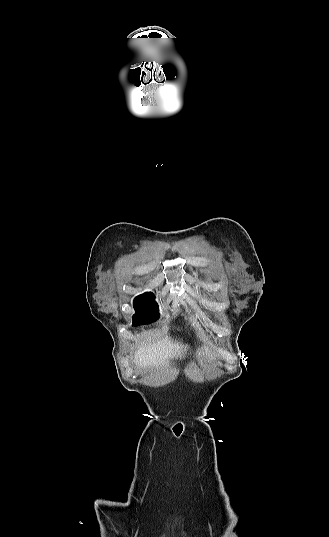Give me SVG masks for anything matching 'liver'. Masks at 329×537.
<instances>
[{
    "label": "liver",
    "instance_id": "obj_1",
    "mask_svg": "<svg viewBox=\"0 0 329 537\" xmlns=\"http://www.w3.org/2000/svg\"><path fill=\"white\" fill-rule=\"evenodd\" d=\"M186 348L187 346H184L181 343L170 341L168 337L156 343H151V339H149V344L142 342L135 351L134 362L139 367L162 366L167 363L168 359L176 357L181 358L184 352H186ZM204 351L205 355H207L210 360H214V356L209 354L207 347H205Z\"/></svg>",
    "mask_w": 329,
    "mask_h": 537
}]
</instances>
